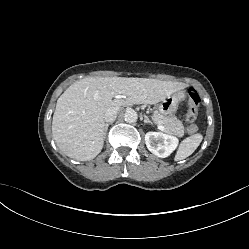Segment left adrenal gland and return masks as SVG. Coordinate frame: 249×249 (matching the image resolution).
Returning a JSON list of instances; mask_svg holds the SVG:
<instances>
[{
  "mask_svg": "<svg viewBox=\"0 0 249 249\" xmlns=\"http://www.w3.org/2000/svg\"><path fill=\"white\" fill-rule=\"evenodd\" d=\"M145 119H144V123H148L150 125H153V123L149 120V118L147 116H144Z\"/></svg>",
  "mask_w": 249,
  "mask_h": 249,
  "instance_id": "a2214340",
  "label": "left adrenal gland"
}]
</instances>
